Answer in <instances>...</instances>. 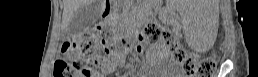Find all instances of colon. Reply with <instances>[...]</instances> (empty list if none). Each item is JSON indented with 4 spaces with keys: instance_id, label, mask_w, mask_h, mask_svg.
I'll list each match as a JSON object with an SVG mask.
<instances>
[{
    "instance_id": "obj_1",
    "label": "colon",
    "mask_w": 258,
    "mask_h": 77,
    "mask_svg": "<svg viewBox=\"0 0 258 77\" xmlns=\"http://www.w3.org/2000/svg\"><path fill=\"white\" fill-rule=\"evenodd\" d=\"M144 44L160 43L170 52L172 60L183 67L188 77H209L216 68V62L210 58L192 57L180 45L177 37L158 23H149L141 35ZM110 53L121 52L118 40H110V33L101 30L74 38L66 43L62 56L54 64V77H90L100 65V50Z\"/></svg>"
}]
</instances>
